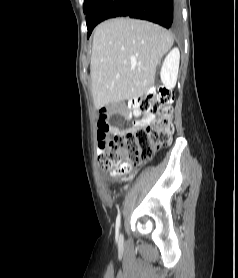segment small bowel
<instances>
[{"mask_svg":"<svg viewBox=\"0 0 238 278\" xmlns=\"http://www.w3.org/2000/svg\"><path fill=\"white\" fill-rule=\"evenodd\" d=\"M109 116L110 115H109L108 111H106L105 109H102L100 111L98 122L100 120H104L105 122L108 123ZM126 117H136V118H138V121L135 123V125L133 126V128L131 130L145 127V126L149 125L154 119V116L152 114H143L138 109H135L132 113L127 114ZM118 132H121V130L119 128L109 124V130L106 133L105 137H107L108 134L114 135ZM99 148H100V146H99ZM100 150H101V148H100Z\"/></svg>","mask_w":238,"mask_h":278,"instance_id":"1","label":"small bowel"}]
</instances>
